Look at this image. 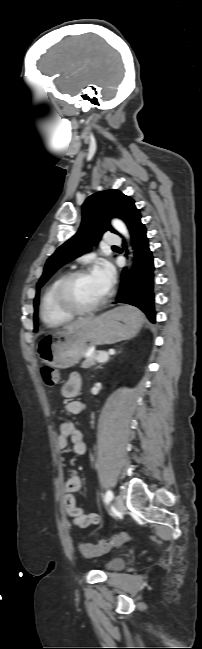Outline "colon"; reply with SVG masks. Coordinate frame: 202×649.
<instances>
[{
	"mask_svg": "<svg viewBox=\"0 0 202 649\" xmlns=\"http://www.w3.org/2000/svg\"><path fill=\"white\" fill-rule=\"evenodd\" d=\"M40 374L43 382L47 386L54 387L59 385L60 374L58 370L49 366H43L40 370ZM127 538L128 537L125 533H118L112 538L101 540L96 544L81 543L79 546L80 552L85 558H91L108 551L114 546L124 544L127 541Z\"/></svg>",
	"mask_w": 202,
	"mask_h": 649,
	"instance_id": "colon-1",
	"label": "colon"
}]
</instances>
